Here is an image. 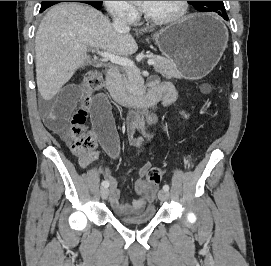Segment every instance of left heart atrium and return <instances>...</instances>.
<instances>
[{"instance_id": "left-heart-atrium-1", "label": "left heart atrium", "mask_w": 271, "mask_h": 266, "mask_svg": "<svg viewBox=\"0 0 271 266\" xmlns=\"http://www.w3.org/2000/svg\"><path fill=\"white\" fill-rule=\"evenodd\" d=\"M149 2H150V1H141V6H142V8H143V9H146V8L148 7V5H149Z\"/></svg>"}]
</instances>
